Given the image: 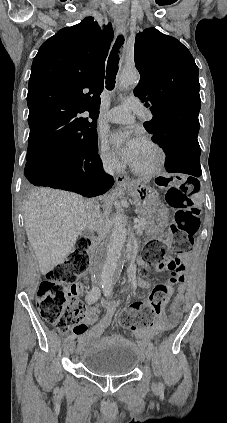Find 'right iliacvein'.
Segmentation results:
<instances>
[{
  "mask_svg": "<svg viewBox=\"0 0 227 423\" xmlns=\"http://www.w3.org/2000/svg\"><path fill=\"white\" fill-rule=\"evenodd\" d=\"M74 347H75V342L71 340L66 346V352H68V354H71L74 350Z\"/></svg>",
  "mask_w": 227,
  "mask_h": 423,
  "instance_id": "right-iliac-vein-1",
  "label": "right iliac vein"
}]
</instances>
